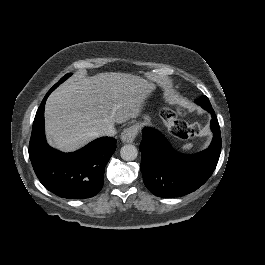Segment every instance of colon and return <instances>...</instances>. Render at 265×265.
<instances>
[{"label":"colon","instance_id":"1","mask_svg":"<svg viewBox=\"0 0 265 265\" xmlns=\"http://www.w3.org/2000/svg\"><path fill=\"white\" fill-rule=\"evenodd\" d=\"M180 110H164L162 117L169 127L170 131L180 138H188L196 136L201 132V126L199 124H188L184 120L180 119Z\"/></svg>","mask_w":265,"mask_h":265}]
</instances>
